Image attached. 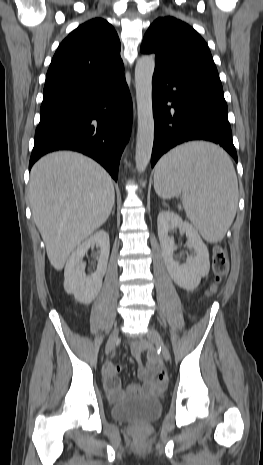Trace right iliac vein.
Here are the masks:
<instances>
[{"label":"right iliac vein","instance_id":"1","mask_svg":"<svg viewBox=\"0 0 263 465\" xmlns=\"http://www.w3.org/2000/svg\"><path fill=\"white\" fill-rule=\"evenodd\" d=\"M118 337H119V330L118 328H116L110 334L109 339L107 341L106 348H105L106 354H109L112 351L116 342L118 341Z\"/></svg>","mask_w":263,"mask_h":465}]
</instances>
